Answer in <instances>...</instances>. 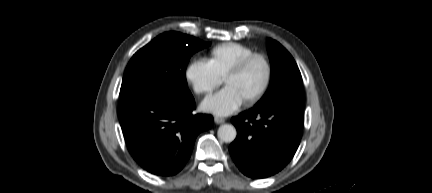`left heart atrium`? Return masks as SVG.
I'll return each mask as SVG.
<instances>
[{"label": "left heart atrium", "mask_w": 432, "mask_h": 193, "mask_svg": "<svg viewBox=\"0 0 432 193\" xmlns=\"http://www.w3.org/2000/svg\"><path fill=\"white\" fill-rule=\"evenodd\" d=\"M239 104L240 98L237 93L230 87H227L214 100L207 101L205 105L220 114H225L237 108Z\"/></svg>", "instance_id": "1"}]
</instances>
